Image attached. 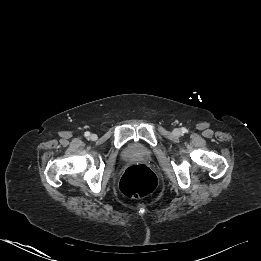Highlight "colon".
Segmentation results:
<instances>
[{
	"mask_svg": "<svg viewBox=\"0 0 261 261\" xmlns=\"http://www.w3.org/2000/svg\"><path fill=\"white\" fill-rule=\"evenodd\" d=\"M157 185L153 171L145 165L128 167L120 178L121 192L130 198H139L150 194Z\"/></svg>",
	"mask_w": 261,
	"mask_h": 261,
	"instance_id": "colon-1",
	"label": "colon"
}]
</instances>
